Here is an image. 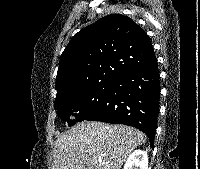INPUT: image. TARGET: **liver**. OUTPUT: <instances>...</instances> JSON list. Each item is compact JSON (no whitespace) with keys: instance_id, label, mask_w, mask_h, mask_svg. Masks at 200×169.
<instances>
[{"instance_id":"liver-1","label":"liver","mask_w":200,"mask_h":169,"mask_svg":"<svg viewBox=\"0 0 200 169\" xmlns=\"http://www.w3.org/2000/svg\"><path fill=\"white\" fill-rule=\"evenodd\" d=\"M145 141L146 135L130 126L84 121L57 138L52 169H121Z\"/></svg>"}]
</instances>
